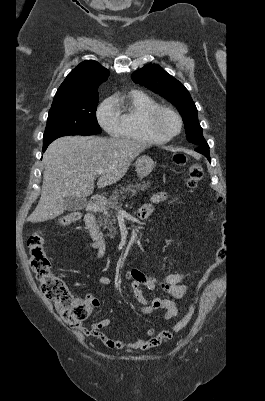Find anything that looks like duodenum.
Returning <instances> with one entry per match:
<instances>
[{
	"label": "duodenum",
	"mask_w": 265,
	"mask_h": 401,
	"mask_svg": "<svg viewBox=\"0 0 265 401\" xmlns=\"http://www.w3.org/2000/svg\"><path fill=\"white\" fill-rule=\"evenodd\" d=\"M103 207V202L100 197L93 196L88 205H87V212L84 217L86 228L94 241H103L104 237L101 233L100 229L98 228L97 221H96V214L101 211Z\"/></svg>",
	"instance_id": "1"
}]
</instances>
